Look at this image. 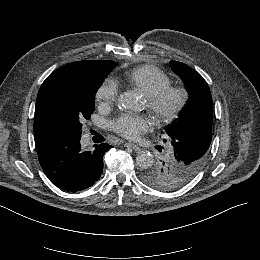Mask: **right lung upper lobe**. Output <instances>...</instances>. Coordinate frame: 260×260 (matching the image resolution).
Returning a JSON list of instances; mask_svg holds the SVG:
<instances>
[{
  "instance_id": "obj_1",
  "label": "right lung upper lobe",
  "mask_w": 260,
  "mask_h": 260,
  "mask_svg": "<svg viewBox=\"0 0 260 260\" xmlns=\"http://www.w3.org/2000/svg\"><path fill=\"white\" fill-rule=\"evenodd\" d=\"M117 63L111 60H86L66 64L51 73L43 82L36 101L34 138L37 152L44 151L56 139L46 130L44 114L46 103L53 91L61 84L75 81L87 74L110 72Z\"/></svg>"
}]
</instances>
